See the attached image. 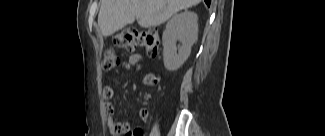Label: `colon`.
Segmentation results:
<instances>
[{"mask_svg":"<svg viewBox=\"0 0 325 136\" xmlns=\"http://www.w3.org/2000/svg\"><path fill=\"white\" fill-rule=\"evenodd\" d=\"M159 34L156 30H138L127 28L117 33L113 38V47L108 48L104 53L103 68L110 70L120 63V56L117 49L133 52L141 46L147 53L155 56L159 50ZM125 136H143L140 129H131Z\"/></svg>","mask_w":325,"mask_h":136,"instance_id":"5ec220e1","label":"colon"}]
</instances>
